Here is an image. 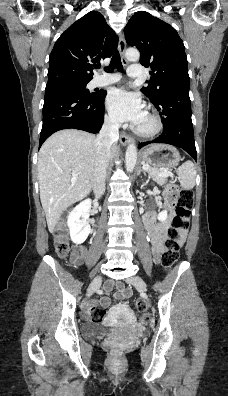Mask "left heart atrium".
Here are the masks:
<instances>
[{
    "label": "left heart atrium",
    "mask_w": 228,
    "mask_h": 396,
    "mask_svg": "<svg viewBox=\"0 0 228 396\" xmlns=\"http://www.w3.org/2000/svg\"><path fill=\"white\" fill-rule=\"evenodd\" d=\"M111 117L116 122L138 125L145 116V106L140 96L124 88L113 89L106 100Z\"/></svg>",
    "instance_id": "1"
}]
</instances>
